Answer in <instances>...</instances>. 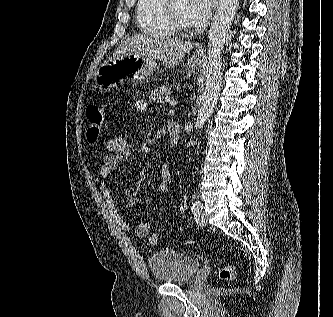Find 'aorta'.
Instances as JSON below:
<instances>
[{"label": "aorta", "instance_id": "aorta-1", "mask_svg": "<svg viewBox=\"0 0 333 317\" xmlns=\"http://www.w3.org/2000/svg\"><path fill=\"white\" fill-rule=\"evenodd\" d=\"M238 6L239 0H220L219 7L209 29L205 90L195 123L198 133L210 117L217 103L222 81V51ZM194 144L195 142H192V145Z\"/></svg>", "mask_w": 333, "mask_h": 317}]
</instances>
